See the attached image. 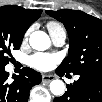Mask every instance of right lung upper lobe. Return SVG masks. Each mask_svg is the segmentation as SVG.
<instances>
[{
    "label": "right lung upper lobe",
    "instance_id": "cb5924a9",
    "mask_svg": "<svg viewBox=\"0 0 102 102\" xmlns=\"http://www.w3.org/2000/svg\"><path fill=\"white\" fill-rule=\"evenodd\" d=\"M42 10L24 9L16 5L0 7V20L11 21L17 31L26 32L31 23L36 21Z\"/></svg>",
    "mask_w": 102,
    "mask_h": 102
}]
</instances>
